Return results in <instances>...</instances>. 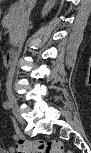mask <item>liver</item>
<instances>
[{
  "mask_svg": "<svg viewBox=\"0 0 91 153\" xmlns=\"http://www.w3.org/2000/svg\"><path fill=\"white\" fill-rule=\"evenodd\" d=\"M48 3L53 4L52 1H49ZM28 4V0H21L20 1V6H19V12L22 13L24 12V8L26 7V5Z\"/></svg>",
  "mask_w": 91,
  "mask_h": 153,
  "instance_id": "obj_1",
  "label": "liver"
}]
</instances>
